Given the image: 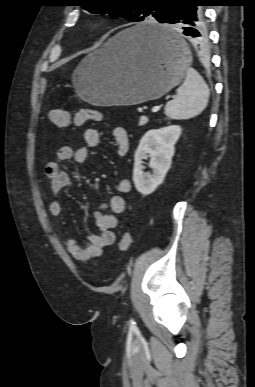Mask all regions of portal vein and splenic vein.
Returning a JSON list of instances; mask_svg holds the SVG:
<instances>
[{
  "instance_id": "18ae733b",
  "label": "portal vein and splenic vein",
  "mask_w": 255,
  "mask_h": 387,
  "mask_svg": "<svg viewBox=\"0 0 255 387\" xmlns=\"http://www.w3.org/2000/svg\"><path fill=\"white\" fill-rule=\"evenodd\" d=\"M159 109H160V106H154L153 108H152V112L153 113H155V112H158L159 111ZM142 120V119H141Z\"/></svg>"
}]
</instances>
